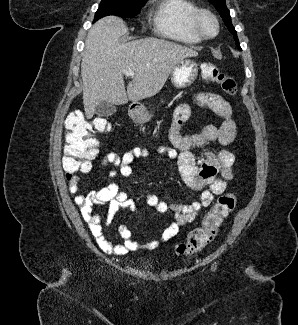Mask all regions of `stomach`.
I'll use <instances>...</instances> for the list:
<instances>
[{"label": "stomach", "mask_w": 298, "mask_h": 325, "mask_svg": "<svg viewBox=\"0 0 298 325\" xmlns=\"http://www.w3.org/2000/svg\"><path fill=\"white\" fill-rule=\"evenodd\" d=\"M198 70V64L195 60H191V58H181L180 62L172 68L170 80L176 88H186V86H190V84H193L194 80H196ZM130 116L134 122L144 124V122L150 120L153 114L150 110H147L145 106H136V108L130 112Z\"/></svg>", "instance_id": "1"}]
</instances>
